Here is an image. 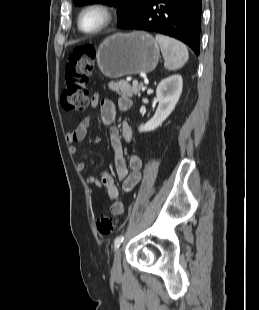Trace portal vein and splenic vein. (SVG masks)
I'll return each instance as SVG.
<instances>
[{
	"label": "portal vein and splenic vein",
	"instance_id": "1",
	"mask_svg": "<svg viewBox=\"0 0 259 310\" xmlns=\"http://www.w3.org/2000/svg\"><path fill=\"white\" fill-rule=\"evenodd\" d=\"M132 84H133V86H136V85H138V81L137 80H133Z\"/></svg>",
	"mask_w": 259,
	"mask_h": 310
}]
</instances>
